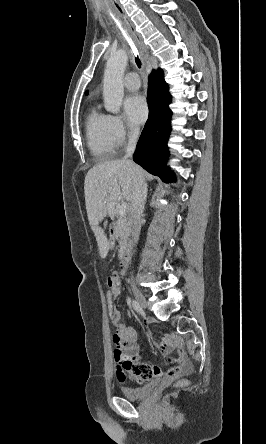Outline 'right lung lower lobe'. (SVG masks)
<instances>
[{
  "label": "right lung lower lobe",
  "instance_id": "1",
  "mask_svg": "<svg viewBox=\"0 0 266 444\" xmlns=\"http://www.w3.org/2000/svg\"><path fill=\"white\" fill-rule=\"evenodd\" d=\"M149 117L139 138L134 161L164 181H174V174L166 167L167 140L171 130V95L161 69L153 71L148 86Z\"/></svg>",
  "mask_w": 266,
  "mask_h": 444
}]
</instances>
